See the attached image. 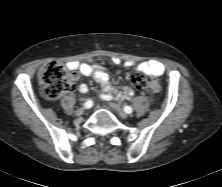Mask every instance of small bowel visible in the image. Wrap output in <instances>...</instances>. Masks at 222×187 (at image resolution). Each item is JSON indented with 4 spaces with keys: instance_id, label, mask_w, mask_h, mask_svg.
<instances>
[{
    "instance_id": "obj_1",
    "label": "small bowel",
    "mask_w": 222,
    "mask_h": 187,
    "mask_svg": "<svg viewBox=\"0 0 222 187\" xmlns=\"http://www.w3.org/2000/svg\"><path fill=\"white\" fill-rule=\"evenodd\" d=\"M113 62L118 64L120 61L118 59H114ZM126 68H131L134 66L132 61L125 62ZM68 68L74 71H77L78 75L83 76H92L94 79L101 85L102 94L101 96H105V94L112 91V88L109 86V76L108 74L100 67L93 66L88 63H78V62H70L68 63ZM136 74H147L151 76H160L164 72V66L161 62L155 60L143 61L135 66ZM78 91L80 93H86L88 91V86L84 83L78 86ZM134 95V90L132 87L127 86L121 93V97L128 99Z\"/></svg>"
}]
</instances>
